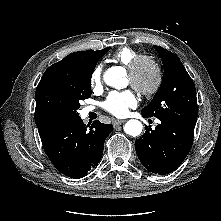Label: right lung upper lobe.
Listing matches in <instances>:
<instances>
[{
    "mask_svg": "<svg viewBox=\"0 0 221 221\" xmlns=\"http://www.w3.org/2000/svg\"><path fill=\"white\" fill-rule=\"evenodd\" d=\"M110 48H105L100 51H79L69 54L61 61L51 65L44 73L41 80L52 74L69 73L79 68L84 67L89 61L95 59L97 56L105 55ZM38 127V126H37ZM38 128H41L39 126Z\"/></svg>",
    "mask_w": 221,
    "mask_h": 221,
    "instance_id": "cb5924a9",
    "label": "right lung upper lobe"
}]
</instances>
